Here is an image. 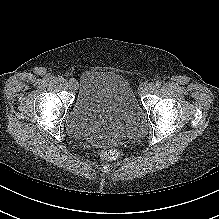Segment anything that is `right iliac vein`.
I'll use <instances>...</instances> for the list:
<instances>
[{
  "label": "right iliac vein",
  "instance_id": "63e3f726",
  "mask_svg": "<svg viewBox=\"0 0 219 219\" xmlns=\"http://www.w3.org/2000/svg\"><path fill=\"white\" fill-rule=\"evenodd\" d=\"M64 84L71 90H74L76 88V81L74 79L65 80Z\"/></svg>",
  "mask_w": 219,
  "mask_h": 219
}]
</instances>
